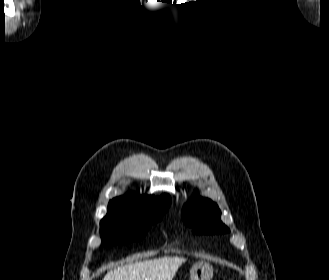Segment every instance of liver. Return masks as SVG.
Listing matches in <instances>:
<instances>
[{
  "label": "liver",
  "mask_w": 329,
  "mask_h": 280,
  "mask_svg": "<svg viewBox=\"0 0 329 280\" xmlns=\"http://www.w3.org/2000/svg\"><path fill=\"white\" fill-rule=\"evenodd\" d=\"M186 262L183 257H162L136 261L114 267L103 280H172L178 268Z\"/></svg>",
  "instance_id": "obj_1"
}]
</instances>
